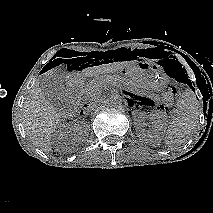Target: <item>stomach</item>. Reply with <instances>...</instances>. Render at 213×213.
Listing matches in <instances>:
<instances>
[{
  "label": "stomach",
  "instance_id": "stomach-1",
  "mask_svg": "<svg viewBox=\"0 0 213 213\" xmlns=\"http://www.w3.org/2000/svg\"><path fill=\"white\" fill-rule=\"evenodd\" d=\"M120 74L150 94L162 92L168 84L162 66L150 60L125 66Z\"/></svg>",
  "mask_w": 213,
  "mask_h": 213
}]
</instances>
